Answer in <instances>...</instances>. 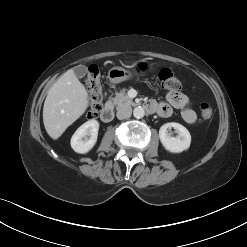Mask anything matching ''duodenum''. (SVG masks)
<instances>
[{"mask_svg":"<svg viewBox=\"0 0 247 247\" xmlns=\"http://www.w3.org/2000/svg\"><path fill=\"white\" fill-rule=\"evenodd\" d=\"M144 108L148 112H156L157 107L152 102H147L144 105ZM114 117V110L112 104H106L104 109L101 112V119L103 122L108 123L110 122Z\"/></svg>","mask_w":247,"mask_h":247,"instance_id":"410a0bca","label":"duodenum"}]
</instances>
